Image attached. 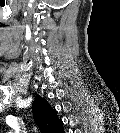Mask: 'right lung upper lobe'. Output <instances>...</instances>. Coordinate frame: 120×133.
<instances>
[{
    "mask_svg": "<svg viewBox=\"0 0 120 133\" xmlns=\"http://www.w3.org/2000/svg\"><path fill=\"white\" fill-rule=\"evenodd\" d=\"M32 110L42 133L63 132V122L58 119L56 110L52 109L44 98L36 97Z\"/></svg>",
    "mask_w": 120,
    "mask_h": 133,
    "instance_id": "right-lung-upper-lobe-1",
    "label": "right lung upper lobe"
}]
</instances>
